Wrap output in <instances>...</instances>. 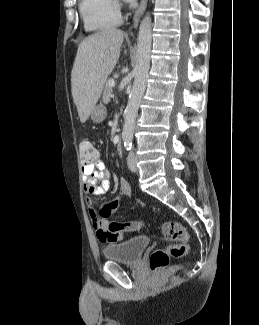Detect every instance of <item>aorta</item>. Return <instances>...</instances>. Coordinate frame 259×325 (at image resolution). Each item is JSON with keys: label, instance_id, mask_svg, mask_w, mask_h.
I'll list each match as a JSON object with an SVG mask.
<instances>
[{"label": "aorta", "instance_id": "762f6f07", "mask_svg": "<svg viewBox=\"0 0 259 325\" xmlns=\"http://www.w3.org/2000/svg\"><path fill=\"white\" fill-rule=\"evenodd\" d=\"M151 46L152 22L150 14L147 13L139 27L136 65L134 68V83L124 115L122 139L128 147L131 146L138 109L146 89V82L150 68Z\"/></svg>", "mask_w": 259, "mask_h": 325}]
</instances>
